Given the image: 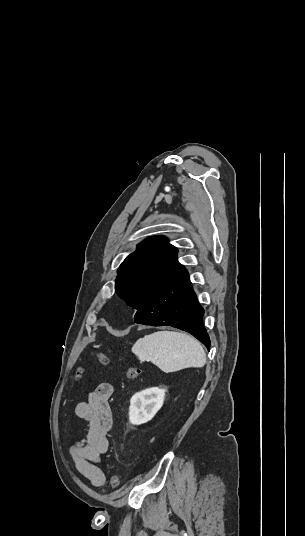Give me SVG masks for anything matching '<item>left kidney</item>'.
<instances>
[{
	"label": "left kidney",
	"mask_w": 305,
	"mask_h": 536,
	"mask_svg": "<svg viewBox=\"0 0 305 536\" xmlns=\"http://www.w3.org/2000/svg\"><path fill=\"white\" fill-rule=\"evenodd\" d=\"M166 390L161 388H148L143 392L134 394L130 400L129 420L131 424H145L152 420L158 410L162 408Z\"/></svg>",
	"instance_id": "1"
}]
</instances>
